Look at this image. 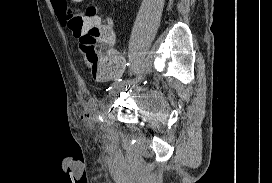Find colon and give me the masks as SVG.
Returning <instances> with one entry per match:
<instances>
[{"label": "colon", "instance_id": "1", "mask_svg": "<svg viewBox=\"0 0 272 183\" xmlns=\"http://www.w3.org/2000/svg\"><path fill=\"white\" fill-rule=\"evenodd\" d=\"M66 2V25L79 39L80 53L94 76L105 78L117 66L119 56L113 49L115 30L95 6L75 11Z\"/></svg>", "mask_w": 272, "mask_h": 183}]
</instances>
